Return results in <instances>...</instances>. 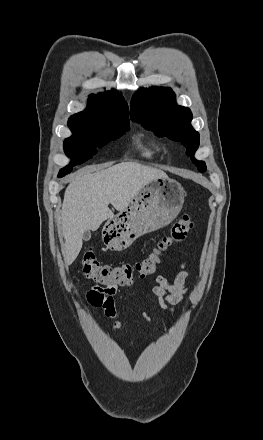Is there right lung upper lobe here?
Wrapping results in <instances>:
<instances>
[{
  "label": "right lung upper lobe",
  "mask_w": 263,
  "mask_h": 440,
  "mask_svg": "<svg viewBox=\"0 0 263 440\" xmlns=\"http://www.w3.org/2000/svg\"><path fill=\"white\" fill-rule=\"evenodd\" d=\"M89 105L85 111L69 118V127H82L96 118L120 116L129 117V109L124 98L116 92L108 91L89 96Z\"/></svg>",
  "instance_id": "1"
}]
</instances>
